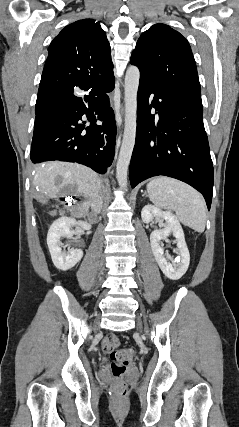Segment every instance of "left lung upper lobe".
I'll return each mask as SVG.
<instances>
[{
    "mask_svg": "<svg viewBox=\"0 0 239 427\" xmlns=\"http://www.w3.org/2000/svg\"><path fill=\"white\" fill-rule=\"evenodd\" d=\"M140 78L174 89L201 101L196 63L188 41L165 24L142 33L131 55Z\"/></svg>",
    "mask_w": 239,
    "mask_h": 427,
    "instance_id": "1",
    "label": "left lung upper lobe"
}]
</instances>
